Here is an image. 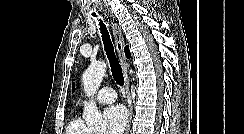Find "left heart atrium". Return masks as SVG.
I'll return each instance as SVG.
<instances>
[{
	"instance_id": "39dd6f15",
	"label": "left heart atrium",
	"mask_w": 244,
	"mask_h": 134,
	"mask_svg": "<svg viewBox=\"0 0 244 134\" xmlns=\"http://www.w3.org/2000/svg\"><path fill=\"white\" fill-rule=\"evenodd\" d=\"M107 121V134H123L128 122V115L121 105L108 107L104 112Z\"/></svg>"
}]
</instances>
